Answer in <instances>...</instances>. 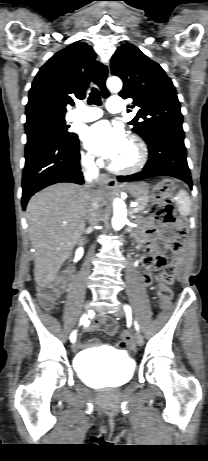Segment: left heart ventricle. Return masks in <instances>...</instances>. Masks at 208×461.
Segmentation results:
<instances>
[{
    "instance_id": "obj_1",
    "label": "left heart ventricle",
    "mask_w": 208,
    "mask_h": 461,
    "mask_svg": "<svg viewBox=\"0 0 208 461\" xmlns=\"http://www.w3.org/2000/svg\"><path fill=\"white\" fill-rule=\"evenodd\" d=\"M136 160V152L134 148L126 142L125 147L122 152L113 159V162L120 166H129L133 164Z\"/></svg>"
}]
</instances>
